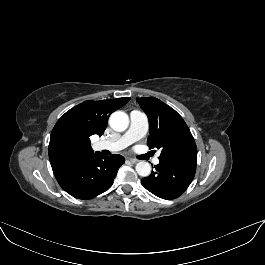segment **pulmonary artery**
<instances>
[{"label": "pulmonary artery", "instance_id": "1", "mask_svg": "<svg viewBox=\"0 0 265 265\" xmlns=\"http://www.w3.org/2000/svg\"><path fill=\"white\" fill-rule=\"evenodd\" d=\"M147 131V117L140 111L133 110L130 113V127L123 135L113 139L100 140L97 142L96 146L100 150L106 149L110 151H119L144 137ZM154 163H159L157 157L154 158Z\"/></svg>", "mask_w": 265, "mask_h": 265}]
</instances>
